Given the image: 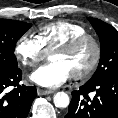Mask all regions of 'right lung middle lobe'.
<instances>
[{"label":"right lung middle lobe","instance_id":"obj_1","mask_svg":"<svg viewBox=\"0 0 118 118\" xmlns=\"http://www.w3.org/2000/svg\"><path fill=\"white\" fill-rule=\"evenodd\" d=\"M30 27L31 25L25 22L0 19V69L17 68L15 45Z\"/></svg>","mask_w":118,"mask_h":118}]
</instances>
